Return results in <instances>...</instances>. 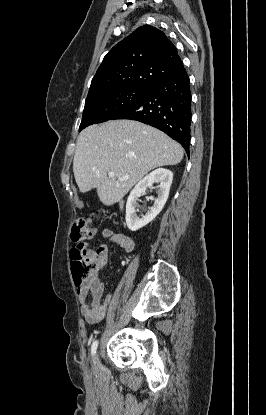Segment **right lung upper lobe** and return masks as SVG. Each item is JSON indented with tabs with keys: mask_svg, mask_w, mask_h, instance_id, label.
Segmentation results:
<instances>
[{
	"mask_svg": "<svg viewBox=\"0 0 266 415\" xmlns=\"http://www.w3.org/2000/svg\"><path fill=\"white\" fill-rule=\"evenodd\" d=\"M184 69L176 47L167 36L153 26H142L104 57L88 96L120 87L150 89Z\"/></svg>",
	"mask_w": 266,
	"mask_h": 415,
	"instance_id": "1",
	"label": "right lung upper lobe"
}]
</instances>
